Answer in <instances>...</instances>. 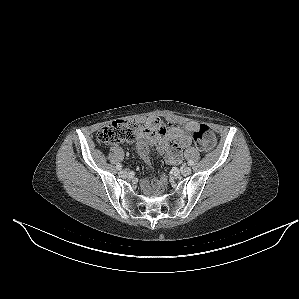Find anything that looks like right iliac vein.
Here are the masks:
<instances>
[{
	"label": "right iliac vein",
	"mask_w": 299,
	"mask_h": 299,
	"mask_svg": "<svg viewBox=\"0 0 299 299\" xmlns=\"http://www.w3.org/2000/svg\"><path fill=\"white\" fill-rule=\"evenodd\" d=\"M128 175L127 171L125 170H121L119 171V176L122 177V178H126Z\"/></svg>",
	"instance_id": "right-iliac-vein-1"
}]
</instances>
